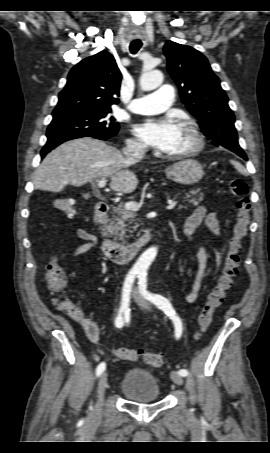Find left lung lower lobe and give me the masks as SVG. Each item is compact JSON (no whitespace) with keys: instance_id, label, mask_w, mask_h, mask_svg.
I'll use <instances>...</instances> for the list:
<instances>
[{"instance_id":"0a47b994","label":"left lung lower lobe","mask_w":270,"mask_h":453,"mask_svg":"<svg viewBox=\"0 0 270 453\" xmlns=\"http://www.w3.org/2000/svg\"><path fill=\"white\" fill-rule=\"evenodd\" d=\"M231 151H233L234 153H236L237 155H239L243 159L247 160V157H246L245 153L243 152V150L241 148H235V149H232Z\"/></svg>"}]
</instances>
